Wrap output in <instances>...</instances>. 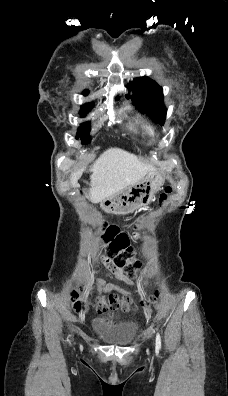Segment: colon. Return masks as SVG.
I'll list each match as a JSON object with an SVG mask.
<instances>
[{"label":"colon","mask_w":228,"mask_h":396,"mask_svg":"<svg viewBox=\"0 0 228 396\" xmlns=\"http://www.w3.org/2000/svg\"><path fill=\"white\" fill-rule=\"evenodd\" d=\"M172 191V187H166L165 191L160 195V202L165 201ZM101 239L107 245V258L105 260L112 261L117 267L125 268L128 276L134 278L136 276V270L142 267V263L135 257V250L131 245L129 235L116 225L103 224ZM157 297L158 294L141 305L148 311H151L156 304ZM72 299L74 309L78 313L85 311L86 302L79 298L77 292L73 294ZM98 304L102 310L119 306L127 310L131 306L129 297L126 296L120 301L116 295H109L107 300H100Z\"/></svg>","instance_id":"1"}]
</instances>
